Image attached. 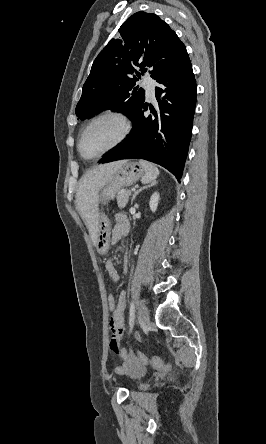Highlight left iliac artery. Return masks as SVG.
<instances>
[{"mask_svg": "<svg viewBox=\"0 0 266 444\" xmlns=\"http://www.w3.org/2000/svg\"><path fill=\"white\" fill-rule=\"evenodd\" d=\"M134 319H135V304H134V302L132 301V302L130 303V317H129L130 331H131L132 328H133V325H134Z\"/></svg>", "mask_w": 266, "mask_h": 444, "instance_id": "44dca946", "label": "left iliac artery"}]
</instances>
